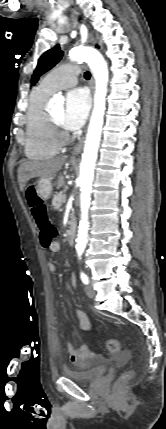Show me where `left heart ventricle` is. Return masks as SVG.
<instances>
[{
  "mask_svg": "<svg viewBox=\"0 0 166 429\" xmlns=\"http://www.w3.org/2000/svg\"><path fill=\"white\" fill-rule=\"evenodd\" d=\"M63 114H64V108H63V106H59V107H57V108H55L54 110L51 111V116L61 126H62Z\"/></svg>",
  "mask_w": 166,
  "mask_h": 429,
  "instance_id": "b2bd125f",
  "label": "left heart ventricle"
}]
</instances>
